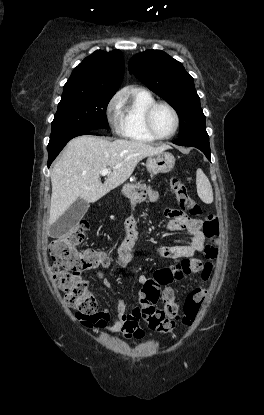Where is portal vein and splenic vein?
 I'll return each mask as SVG.
<instances>
[{"instance_id":"obj_1","label":"portal vein and splenic vein","mask_w":264,"mask_h":415,"mask_svg":"<svg viewBox=\"0 0 264 415\" xmlns=\"http://www.w3.org/2000/svg\"><path fill=\"white\" fill-rule=\"evenodd\" d=\"M110 172H111V169H110V168H104V169H102V170H101V175H102V176H106V175H108Z\"/></svg>"}]
</instances>
